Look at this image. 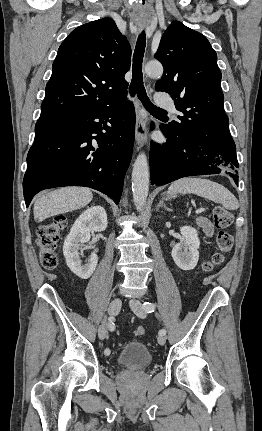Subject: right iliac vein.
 I'll return each mask as SVG.
<instances>
[{"mask_svg":"<svg viewBox=\"0 0 262 431\" xmlns=\"http://www.w3.org/2000/svg\"><path fill=\"white\" fill-rule=\"evenodd\" d=\"M121 305H122L121 298L118 297V298L113 299L110 302L109 307H108L109 314L110 315H116L119 312V310L121 308ZM98 336L102 340L106 338V336H107V329H106V326L104 324H101L99 326V328H98Z\"/></svg>","mask_w":262,"mask_h":431,"instance_id":"1","label":"right iliac vein"}]
</instances>
